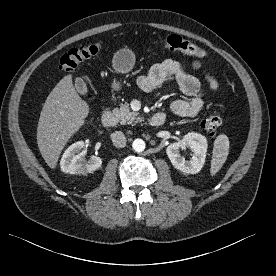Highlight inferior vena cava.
Instances as JSON below:
<instances>
[{
	"label": "inferior vena cava",
	"instance_id": "1",
	"mask_svg": "<svg viewBox=\"0 0 276 276\" xmlns=\"http://www.w3.org/2000/svg\"><path fill=\"white\" fill-rule=\"evenodd\" d=\"M112 143L117 148H123L126 146V137L123 132L115 131L111 134Z\"/></svg>",
	"mask_w": 276,
	"mask_h": 276
}]
</instances>
